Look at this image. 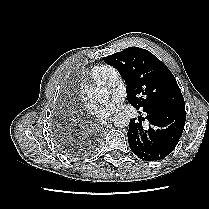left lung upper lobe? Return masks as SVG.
<instances>
[{"mask_svg":"<svg viewBox=\"0 0 209 209\" xmlns=\"http://www.w3.org/2000/svg\"><path fill=\"white\" fill-rule=\"evenodd\" d=\"M127 83L128 102L136 109L169 108L185 112V103L175 77L148 50L129 47L104 58Z\"/></svg>","mask_w":209,"mask_h":209,"instance_id":"1","label":"left lung upper lobe"}]
</instances>
